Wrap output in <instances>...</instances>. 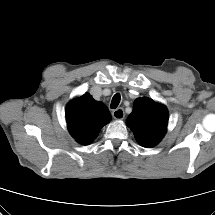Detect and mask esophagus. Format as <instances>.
I'll return each instance as SVG.
<instances>
[{
  "mask_svg": "<svg viewBox=\"0 0 215 215\" xmlns=\"http://www.w3.org/2000/svg\"><path fill=\"white\" fill-rule=\"evenodd\" d=\"M112 116L116 120H122L125 117L124 110L122 108H117L112 112Z\"/></svg>",
  "mask_w": 215,
  "mask_h": 215,
  "instance_id": "1",
  "label": "esophagus"
}]
</instances>
